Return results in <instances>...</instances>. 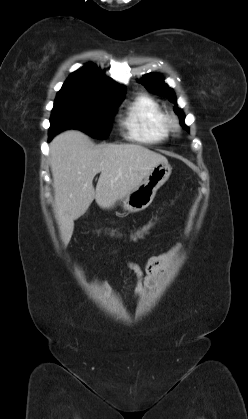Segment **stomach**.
Listing matches in <instances>:
<instances>
[{
	"mask_svg": "<svg viewBox=\"0 0 248 419\" xmlns=\"http://www.w3.org/2000/svg\"><path fill=\"white\" fill-rule=\"evenodd\" d=\"M171 166L160 162L152 168L143 182L120 199L121 207L128 212H139L146 209L153 201L157 190L168 180Z\"/></svg>",
	"mask_w": 248,
	"mask_h": 419,
	"instance_id": "0dacf381",
	"label": "stomach"
}]
</instances>
